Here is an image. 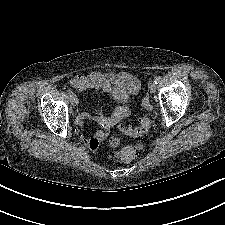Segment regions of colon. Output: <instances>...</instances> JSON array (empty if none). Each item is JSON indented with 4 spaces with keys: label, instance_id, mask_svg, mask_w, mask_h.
<instances>
[{
    "label": "colon",
    "instance_id": "obj_1",
    "mask_svg": "<svg viewBox=\"0 0 225 225\" xmlns=\"http://www.w3.org/2000/svg\"><path fill=\"white\" fill-rule=\"evenodd\" d=\"M141 106L146 110L150 108L149 102L146 99L141 101ZM150 126V118L147 114H144L141 116L136 126L125 127L122 124H118V129L124 135L130 137H141L149 132ZM105 139L109 147H118L121 143L120 139L116 136H105ZM95 143H98V137L96 138ZM143 148L144 145L142 143L124 145L118 152L117 157L123 162H129L135 159Z\"/></svg>",
    "mask_w": 225,
    "mask_h": 225
}]
</instances>
